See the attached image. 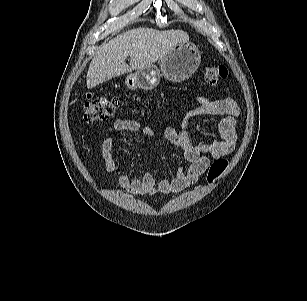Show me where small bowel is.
<instances>
[{
	"label": "small bowel",
	"instance_id": "small-bowel-1",
	"mask_svg": "<svg viewBox=\"0 0 307 301\" xmlns=\"http://www.w3.org/2000/svg\"><path fill=\"white\" fill-rule=\"evenodd\" d=\"M196 102V108L187 114L180 129L167 127L162 132L163 138L174 145L185 160V164L177 168L172 179L156 177L151 172L142 176L128 174L123 162H116L112 157V149L120 136L133 133L153 139L157 135L154 129L131 119L116 120L109 126V136L101 141V154L106 171L118 173V182L124 191L133 195L180 192L196 183L213 159L229 155L235 150L238 141L235 123L240 113L236 101L232 98L209 99L198 96ZM198 116H224L218 123L219 139L202 143L191 140L189 122Z\"/></svg>",
	"mask_w": 307,
	"mask_h": 301
}]
</instances>
